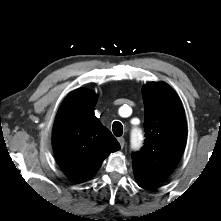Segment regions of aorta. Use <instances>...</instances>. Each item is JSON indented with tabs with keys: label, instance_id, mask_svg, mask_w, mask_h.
<instances>
[{
	"label": "aorta",
	"instance_id": "1",
	"mask_svg": "<svg viewBox=\"0 0 221 221\" xmlns=\"http://www.w3.org/2000/svg\"><path fill=\"white\" fill-rule=\"evenodd\" d=\"M142 132L140 129L135 128L131 132V148L133 150H138L142 145Z\"/></svg>",
	"mask_w": 221,
	"mask_h": 221
}]
</instances>
